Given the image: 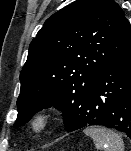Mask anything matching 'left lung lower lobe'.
<instances>
[{
  "label": "left lung lower lobe",
  "mask_w": 131,
  "mask_h": 151,
  "mask_svg": "<svg viewBox=\"0 0 131 151\" xmlns=\"http://www.w3.org/2000/svg\"><path fill=\"white\" fill-rule=\"evenodd\" d=\"M90 125L115 129L131 138V48L104 68L68 132Z\"/></svg>",
  "instance_id": "obj_1"
}]
</instances>
